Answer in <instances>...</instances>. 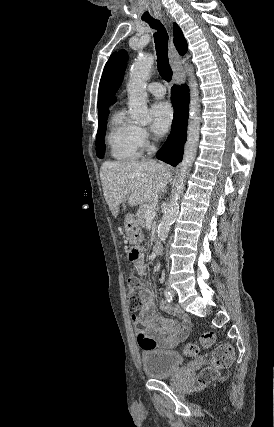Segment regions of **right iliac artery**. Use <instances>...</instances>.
I'll list each match as a JSON object with an SVG mask.
<instances>
[{
    "label": "right iliac artery",
    "mask_w": 274,
    "mask_h": 427,
    "mask_svg": "<svg viewBox=\"0 0 274 427\" xmlns=\"http://www.w3.org/2000/svg\"><path fill=\"white\" fill-rule=\"evenodd\" d=\"M164 295H165V298L168 302H172V300H173L172 295L167 289L164 290Z\"/></svg>",
    "instance_id": "obj_1"
}]
</instances>
